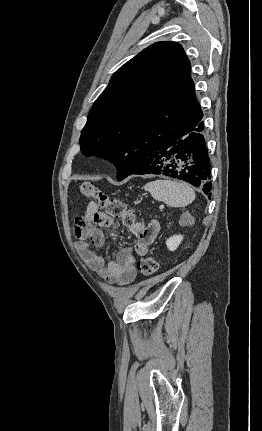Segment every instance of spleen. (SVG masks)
I'll return each instance as SVG.
<instances>
[{"mask_svg":"<svg viewBox=\"0 0 262 431\" xmlns=\"http://www.w3.org/2000/svg\"><path fill=\"white\" fill-rule=\"evenodd\" d=\"M144 188L154 199L171 207H185L195 199L194 190L183 182L159 179L148 182Z\"/></svg>","mask_w":262,"mask_h":431,"instance_id":"obj_1","label":"spleen"}]
</instances>
